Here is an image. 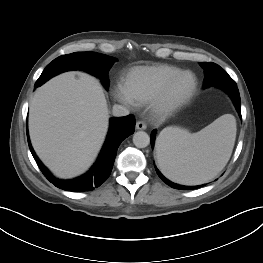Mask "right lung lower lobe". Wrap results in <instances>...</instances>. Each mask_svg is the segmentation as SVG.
Masks as SVG:
<instances>
[{"label": "right lung lower lobe", "mask_w": 263, "mask_h": 263, "mask_svg": "<svg viewBox=\"0 0 263 263\" xmlns=\"http://www.w3.org/2000/svg\"><path fill=\"white\" fill-rule=\"evenodd\" d=\"M44 82L46 81L38 79L35 87L41 86ZM134 130L135 119L132 115L111 118L106 142L96 163L86 174L72 180H59L55 178L36 156L30 144L28 132L27 136L30 151L38 167L51 183L67 191H91L95 187L100 186L109 177L119 145L126 137L134 133Z\"/></svg>", "instance_id": "obj_1"}]
</instances>
